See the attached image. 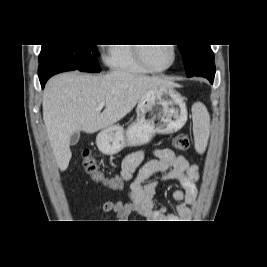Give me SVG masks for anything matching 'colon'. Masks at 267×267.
<instances>
[{
	"instance_id": "5ec220e1",
	"label": "colon",
	"mask_w": 267,
	"mask_h": 267,
	"mask_svg": "<svg viewBox=\"0 0 267 267\" xmlns=\"http://www.w3.org/2000/svg\"><path fill=\"white\" fill-rule=\"evenodd\" d=\"M173 146L179 151H187L190 146V140L187 134L179 133L173 139ZM82 166L85 173L95 182L101 183L108 188H123L125 180L123 177H110L100 166L98 160L89 150H84L82 155Z\"/></svg>"
}]
</instances>
